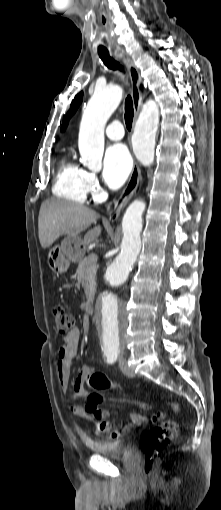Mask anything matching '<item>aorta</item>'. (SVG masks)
<instances>
[{
	"label": "aorta",
	"instance_id": "obj_1",
	"mask_svg": "<svg viewBox=\"0 0 221 510\" xmlns=\"http://www.w3.org/2000/svg\"><path fill=\"white\" fill-rule=\"evenodd\" d=\"M122 94L123 90L118 85L98 87L83 111L78 146L81 162L91 170L97 171L101 168L105 125L119 106ZM158 125V106L149 100L140 112L132 136L133 151L144 166H150L154 161ZM145 207L144 201L136 199L126 209L122 219L121 251L107 267L103 287L95 301V319L100 342L105 349L118 350L123 345L127 317L115 289L126 282L140 253L142 214Z\"/></svg>",
	"mask_w": 221,
	"mask_h": 510
}]
</instances>
